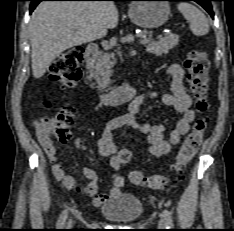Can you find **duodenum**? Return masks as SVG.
I'll use <instances>...</instances> for the list:
<instances>
[{"label": "duodenum", "instance_id": "1", "mask_svg": "<svg viewBox=\"0 0 234 231\" xmlns=\"http://www.w3.org/2000/svg\"><path fill=\"white\" fill-rule=\"evenodd\" d=\"M99 51L98 45L91 43L86 47L84 58L91 63ZM136 93V86L133 83H127L109 92L103 93L100 98L105 106H118L131 100Z\"/></svg>", "mask_w": 234, "mask_h": 231}]
</instances>
